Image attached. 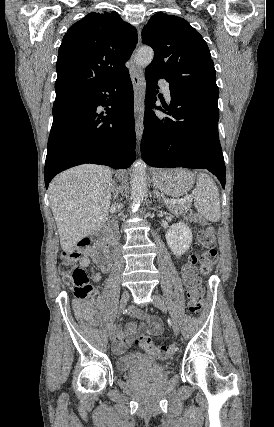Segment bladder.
I'll return each instance as SVG.
<instances>
[{"label":"bladder","mask_w":274,"mask_h":427,"mask_svg":"<svg viewBox=\"0 0 274 427\" xmlns=\"http://www.w3.org/2000/svg\"><path fill=\"white\" fill-rule=\"evenodd\" d=\"M117 367L120 372L126 373L137 368L161 367L156 361L148 359L146 354L142 353H125L117 356Z\"/></svg>","instance_id":"bladder-1"}]
</instances>
